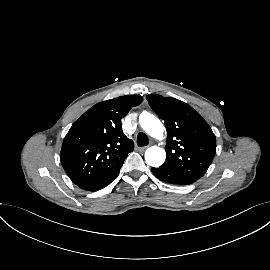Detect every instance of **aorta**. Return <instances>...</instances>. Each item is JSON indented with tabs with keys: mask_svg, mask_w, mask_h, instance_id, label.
Returning a JSON list of instances; mask_svg holds the SVG:
<instances>
[{
	"mask_svg": "<svg viewBox=\"0 0 270 270\" xmlns=\"http://www.w3.org/2000/svg\"><path fill=\"white\" fill-rule=\"evenodd\" d=\"M139 123L143 130L151 137L163 139L164 127L161 121L153 114L142 113L139 117ZM166 159V152L159 146H152L145 152V160L152 167L161 166Z\"/></svg>",
	"mask_w": 270,
	"mask_h": 270,
	"instance_id": "1",
	"label": "aorta"
}]
</instances>
